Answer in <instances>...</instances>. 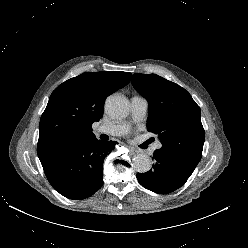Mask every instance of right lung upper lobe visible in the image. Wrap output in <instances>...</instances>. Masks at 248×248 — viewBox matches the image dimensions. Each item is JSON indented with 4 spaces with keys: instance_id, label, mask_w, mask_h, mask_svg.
Here are the masks:
<instances>
[{
    "instance_id": "1",
    "label": "right lung upper lobe",
    "mask_w": 248,
    "mask_h": 248,
    "mask_svg": "<svg viewBox=\"0 0 248 248\" xmlns=\"http://www.w3.org/2000/svg\"><path fill=\"white\" fill-rule=\"evenodd\" d=\"M131 77L121 71L85 72L59 85L40 119L39 159L72 138L94 135L91 126L102 118L105 99L126 86Z\"/></svg>"
}]
</instances>
